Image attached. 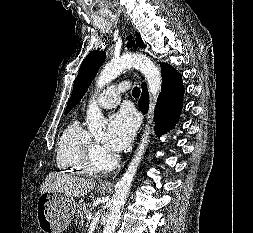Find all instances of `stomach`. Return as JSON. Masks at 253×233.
Segmentation results:
<instances>
[{
  "label": "stomach",
  "mask_w": 253,
  "mask_h": 233,
  "mask_svg": "<svg viewBox=\"0 0 253 233\" xmlns=\"http://www.w3.org/2000/svg\"><path fill=\"white\" fill-rule=\"evenodd\" d=\"M101 192L106 189L100 188ZM76 202L59 192H44L37 202V221L43 233H62L70 224Z\"/></svg>",
  "instance_id": "obj_1"
}]
</instances>
